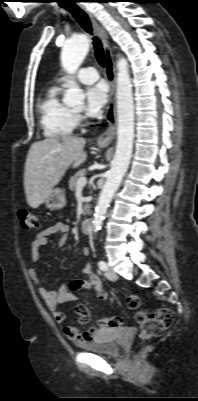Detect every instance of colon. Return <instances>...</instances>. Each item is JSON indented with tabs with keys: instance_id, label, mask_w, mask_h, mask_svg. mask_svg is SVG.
Returning a JSON list of instances; mask_svg holds the SVG:
<instances>
[{
	"instance_id": "colon-1",
	"label": "colon",
	"mask_w": 198,
	"mask_h": 401,
	"mask_svg": "<svg viewBox=\"0 0 198 401\" xmlns=\"http://www.w3.org/2000/svg\"><path fill=\"white\" fill-rule=\"evenodd\" d=\"M19 220L21 227L25 230H35L39 226L37 216L28 210L19 211ZM71 289L75 288V284L70 285ZM126 304L129 309L137 310L140 307V297L136 294H130L126 298ZM76 312L82 323H86L89 319V313L84 307H77ZM135 320L141 324V338L149 340L159 337L167 330L173 322V312L169 308H158L153 312L145 310L137 311ZM101 325L109 328H119L124 325V319L120 317H106L100 320Z\"/></svg>"
}]
</instances>
